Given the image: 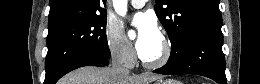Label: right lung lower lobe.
Wrapping results in <instances>:
<instances>
[{
    "mask_svg": "<svg viewBox=\"0 0 260 84\" xmlns=\"http://www.w3.org/2000/svg\"><path fill=\"white\" fill-rule=\"evenodd\" d=\"M108 64H109L108 59H102L93 56L76 58L66 63L64 66H62L52 78L45 79L44 84H55L62 76L79 67L106 66Z\"/></svg>",
    "mask_w": 260,
    "mask_h": 84,
    "instance_id": "right-lung-lower-lobe-1",
    "label": "right lung lower lobe"
}]
</instances>
